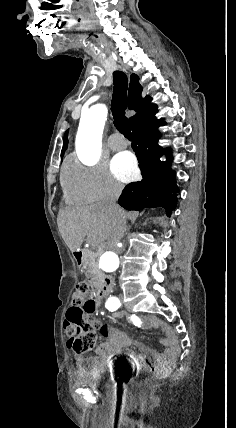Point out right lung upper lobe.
<instances>
[{"label": "right lung upper lobe", "mask_w": 236, "mask_h": 428, "mask_svg": "<svg viewBox=\"0 0 236 428\" xmlns=\"http://www.w3.org/2000/svg\"><path fill=\"white\" fill-rule=\"evenodd\" d=\"M138 80L139 78L136 74L131 75L128 93V108L137 112L136 115L129 118L131 128L147 116L157 111V106L151 103V98L149 96L142 98V86L139 84ZM67 132L65 133L64 145L61 151V156H63L64 151L67 148Z\"/></svg>", "instance_id": "cb5924a9"}]
</instances>
